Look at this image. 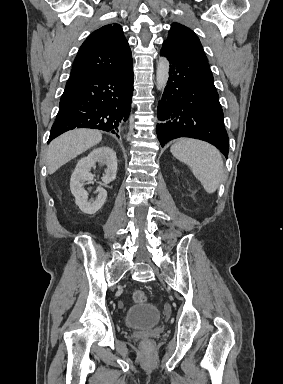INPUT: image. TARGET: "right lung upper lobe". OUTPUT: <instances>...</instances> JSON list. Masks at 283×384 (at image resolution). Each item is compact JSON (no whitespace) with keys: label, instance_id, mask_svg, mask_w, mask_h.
I'll use <instances>...</instances> for the list:
<instances>
[{"label":"right lung upper lobe","instance_id":"obj_1","mask_svg":"<svg viewBox=\"0 0 283 384\" xmlns=\"http://www.w3.org/2000/svg\"><path fill=\"white\" fill-rule=\"evenodd\" d=\"M133 65L132 54L122 27L108 24L95 30L81 45L66 87L89 78L126 70Z\"/></svg>","mask_w":283,"mask_h":384}]
</instances>
